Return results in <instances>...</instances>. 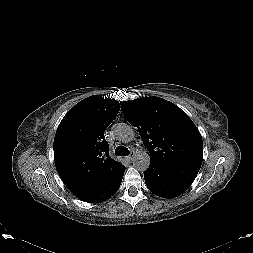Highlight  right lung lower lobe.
Segmentation results:
<instances>
[{
	"mask_svg": "<svg viewBox=\"0 0 253 253\" xmlns=\"http://www.w3.org/2000/svg\"><path fill=\"white\" fill-rule=\"evenodd\" d=\"M124 171L125 169L106 186L100 188L99 190L95 191L93 194L82 200L89 203H97L103 202L106 199L110 198L119 189L124 175Z\"/></svg>",
	"mask_w": 253,
	"mask_h": 253,
	"instance_id": "98d812e1",
	"label": "right lung lower lobe"
}]
</instances>
